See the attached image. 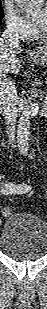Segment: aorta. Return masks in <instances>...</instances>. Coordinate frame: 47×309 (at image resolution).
<instances>
[{
  "label": "aorta",
  "instance_id": "aorta-1",
  "mask_svg": "<svg viewBox=\"0 0 47 309\" xmlns=\"http://www.w3.org/2000/svg\"><path fill=\"white\" fill-rule=\"evenodd\" d=\"M23 3H29L30 0H18ZM34 114V105L31 101H27L23 107L22 114L18 121L17 142L20 152L27 154L29 149V128L30 121Z\"/></svg>",
  "mask_w": 47,
  "mask_h": 309
}]
</instances>
